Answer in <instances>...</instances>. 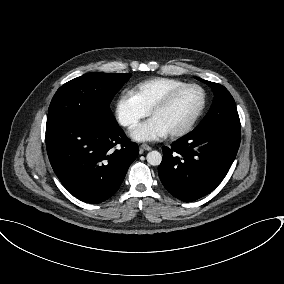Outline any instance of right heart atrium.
<instances>
[{
    "label": "right heart atrium",
    "instance_id": "1",
    "mask_svg": "<svg viewBox=\"0 0 284 284\" xmlns=\"http://www.w3.org/2000/svg\"><path fill=\"white\" fill-rule=\"evenodd\" d=\"M114 111L117 122L125 128L134 127L149 114L131 91L123 92L118 97Z\"/></svg>",
    "mask_w": 284,
    "mask_h": 284
}]
</instances>
